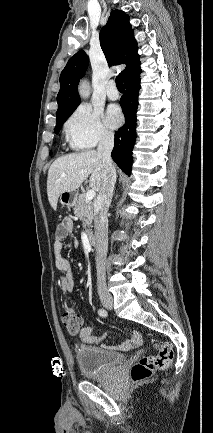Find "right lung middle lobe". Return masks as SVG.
<instances>
[{
    "mask_svg": "<svg viewBox=\"0 0 213 433\" xmlns=\"http://www.w3.org/2000/svg\"><path fill=\"white\" fill-rule=\"evenodd\" d=\"M74 110H75V109H73V110L70 111L69 113L65 114L62 118H60V119L57 120V124H56V126H55L54 133L57 134V133L59 132V130H60V128H61V126H62L64 120H65L66 118H68V117H69V116L74 112ZM50 154H51V152H50Z\"/></svg>",
    "mask_w": 213,
    "mask_h": 433,
    "instance_id": "dd1d6c3e",
    "label": "right lung middle lobe"
}]
</instances>
